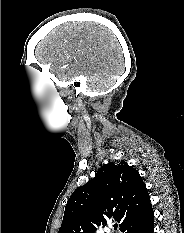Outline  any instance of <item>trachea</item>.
<instances>
[{
    "instance_id": "3493384b",
    "label": "trachea",
    "mask_w": 184,
    "mask_h": 233,
    "mask_svg": "<svg viewBox=\"0 0 184 233\" xmlns=\"http://www.w3.org/2000/svg\"><path fill=\"white\" fill-rule=\"evenodd\" d=\"M113 226H114V229H117V228H118V225H117V224H114Z\"/></svg>"
}]
</instances>
